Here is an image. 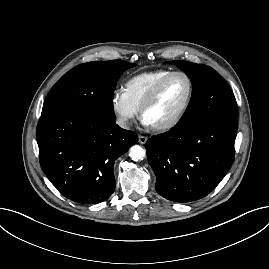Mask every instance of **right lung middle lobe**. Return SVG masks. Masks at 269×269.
I'll list each match as a JSON object with an SVG mask.
<instances>
[{"instance_id": "obj_1", "label": "right lung middle lobe", "mask_w": 269, "mask_h": 269, "mask_svg": "<svg viewBox=\"0 0 269 269\" xmlns=\"http://www.w3.org/2000/svg\"><path fill=\"white\" fill-rule=\"evenodd\" d=\"M136 64L123 60L95 61L63 75L47 95L42 113L69 111L115 122L113 92L122 73Z\"/></svg>"}]
</instances>
